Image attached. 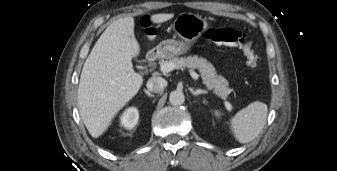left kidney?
<instances>
[{"label":"left kidney","instance_id":"obj_1","mask_svg":"<svg viewBox=\"0 0 337 171\" xmlns=\"http://www.w3.org/2000/svg\"><path fill=\"white\" fill-rule=\"evenodd\" d=\"M215 115H216V116H219V112H218V111H216V112H215Z\"/></svg>","mask_w":337,"mask_h":171}]
</instances>
